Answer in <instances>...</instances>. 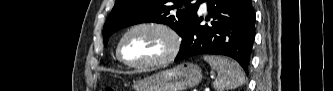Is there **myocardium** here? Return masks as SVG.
Wrapping results in <instances>:
<instances>
[{
  "instance_id": "myocardium-1",
  "label": "myocardium",
  "mask_w": 333,
  "mask_h": 91,
  "mask_svg": "<svg viewBox=\"0 0 333 91\" xmlns=\"http://www.w3.org/2000/svg\"><path fill=\"white\" fill-rule=\"evenodd\" d=\"M140 29H153V30L160 31L164 35H166L167 38L169 39V43H170L168 52L163 57L156 59V60L143 62V63L129 62L124 56V44H125L127 37L131 33L135 32L137 30H140ZM181 43H182V39H181L179 33L177 32V30L173 26H171L167 23H163V22H142V23L133 25L123 34V36L121 37L119 44H118L117 56L123 64H125L126 66H128L130 68L147 69V68L158 67V66L165 65L176 58V56L178 55V53L180 51Z\"/></svg>"
}]
</instances>
